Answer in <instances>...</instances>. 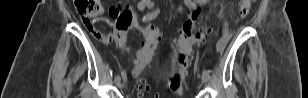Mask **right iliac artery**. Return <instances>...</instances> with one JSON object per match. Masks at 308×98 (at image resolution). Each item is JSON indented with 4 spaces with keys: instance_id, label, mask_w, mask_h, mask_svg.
I'll return each instance as SVG.
<instances>
[{
    "instance_id": "right-iliac-artery-1",
    "label": "right iliac artery",
    "mask_w": 308,
    "mask_h": 98,
    "mask_svg": "<svg viewBox=\"0 0 308 98\" xmlns=\"http://www.w3.org/2000/svg\"><path fill=\"white\" fill-rule=\"evenodd\" d=\"M157 14H158V10L151 12V13L147 14L146 16H144L143 20H152L153 18H155L157 16ZM119 78H120L119 76H116L115 81Z\"/></svg>"
}]
</instances>
